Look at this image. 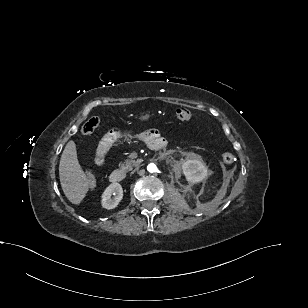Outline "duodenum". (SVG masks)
Here are the masks:
<instances>
[{
  "label": "duodenum",
  "mask_w": 308,
  "mask_h": 308,
  "mask_svg": "<svg viewBox=\"0 0 308 308\" xmlns=\"http://www.w3.org/2000/svg\"><path fill=\"white\" fill-rule=\"evenodd\" d=\"M164 146H165L164 141H155L154 143H151L149 145V150L151 152H156L157 150H160ZM109 179L112 183H120L125 179V173L124 171L119 169L113 170L109 175Z\"/></svg>",
  "instance_id": "410a0bca"
}]
</instances>
